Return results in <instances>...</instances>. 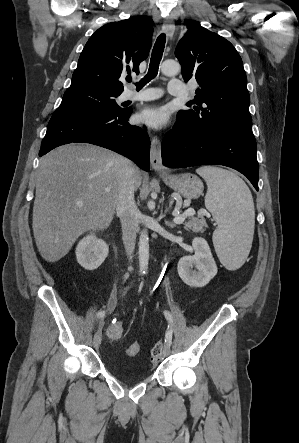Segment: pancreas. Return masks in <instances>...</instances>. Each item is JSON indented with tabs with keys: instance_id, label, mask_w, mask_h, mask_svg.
<instances>
[{
	"instance_id": "1",
	"label": "pancreas",
	"mask_w": 299,
	"mask_h": 443,
	"mask_svg": "<svg viewBox=\"0 0 299 443\" xmlns=\"http://www.w3.org/2000/svg\"><path fill=\"white\" fill-rule=\"evenodd\" d=\"M184 225L187 230L197 233H203L207 227L206 221L203 217H190Z\"/></svg>"
}]
</instances>
